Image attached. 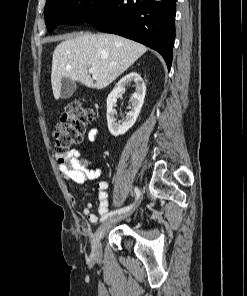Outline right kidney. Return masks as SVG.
<instances>
[{
	"mask_svg": "<svg viewBox=\"0 0 247 296\" xmlns=\"http://www.w3.org/2000/svg\"><path fill=\"white\" fill-rule=\"evenodd\" d=\"M132 82L135 83L136 92L132 94L130 100L131 110L127 113L126 117L122 121H117V119L114 117L115 110L113 107L117 102L118 95L124 91L126 85ZM145 94V83L137 72H130L120 79L116 87L112 90L107 98V123L108 129L113 136L125 134L134 125L141 111Z\"/></svg>",
	"mask_w": 247,
	"mask_h": 296,
	"instance_id": "ca27d5eb",
	"label": "right kidney"
}]
</instances>
